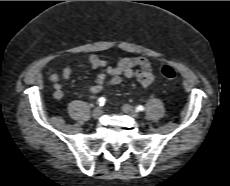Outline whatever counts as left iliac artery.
Returning a JSON list of instances; mask_svg holds the SVG:
<instances>
[{"label": "left iliac artery", "instance_id": "left-iliac-artery-1", "mask_svg": "<svg viewBox=\"0 0 230 186\" xmlns=\"http://www.w3.org/2000/svg\"><path fill=\"white\" fill-rule=\"evenodd\" d=\"M138 111H143L145 108L142 105L137 106L136 108Z\"/></svg>", "mask_w": 230, "mask_h": 186}]
</instances>
